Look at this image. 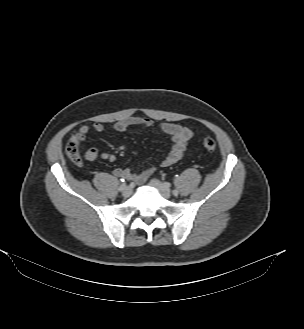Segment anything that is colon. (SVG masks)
Instances as JSON below:
<instances>
[{
  "label": "colon",
  "instance_id": "obj_1",
  "mask_svg": "<svg viewBox=\"0 0 304 329\" xmlns=\"http://www.w3.org/2000/svg\"><path fill=\"white\" fill-rule=\"evenodd\" d=\"M202 144L208 151H213L216 148V141L212 137L203 138ZM65 152L73 162L79 163L81 161V142L76 133L72 134L67 140Z\"/></svg>",
  "mask_w": 304,
  "mask_h": 329
}]
</instances>
